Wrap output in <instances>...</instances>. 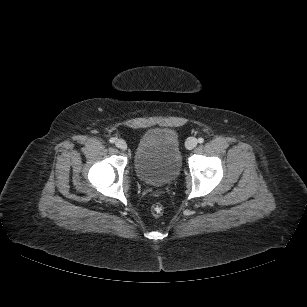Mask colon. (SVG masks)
I'll use <instances>...</instances> for the list:
<instances>
[{"label": "colon", "mask_w": 307, "mask_h": 307, "mask_svg": "<svg viewBox=\"0 0 307 307\" xmlns=\"http://www.w3.org/2000/svg\"><path fill=\"white\" fill-rule=\"evenodd\" d=\"M151 213L153 216L158 217L160 215H162L163 213V208L160 204L156 203L152 206L151 208Z\"/></svg>", "instance_id": "5ec220e1"}]
</instances>
